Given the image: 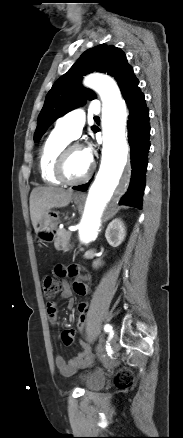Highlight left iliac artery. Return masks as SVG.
I'll return each mask as SVG.
<instances>
[{"instance_id":"obj_1","label":"left iliac artery","mask_w":183,"mask_h":438,"mask_svg":"<svg viewBox=\"0 0 183 438\" xmlns=\"http://www.w3.org/2000/svg\"><path fill=\"white\" fill-rule=\"evenodd\" d=\"M104 330H105V332H111V331H112V326L109 325V324H106V325L104 326Z\"/></svg>"}]
</instances>
